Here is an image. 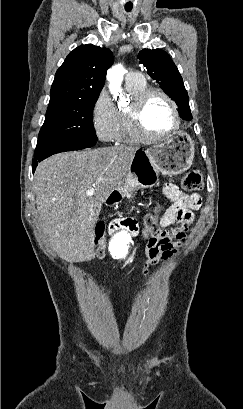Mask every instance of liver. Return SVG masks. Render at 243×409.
Masks as SVG:
<instances>
[{
  "mask_svg": "<svg viewBox=\"0 0 243 409\" xmlns=\"http://www.w3.org/2000/svg\"><path fill=\"white\" fill-rule=\"evenodd\" d=\"M138 147L65 152L42 161L34 174L40 226L53 250L78 262L92 249L102 204L123 183ZM95 189L94 197L86 191Z\"/></svg>",
  "mask_w": 243,
  "mask_h": 409,
  "instance_id": "1",
  "label": "liver"
}]
</instances>
